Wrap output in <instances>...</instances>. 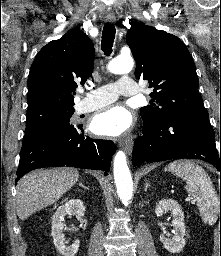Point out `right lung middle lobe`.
Returning a JSON list of instances; mask_svg holds the SVG:
<instances>
[{
	"instance_id": "1",
	"label": "right lung middle lobe",
	"mask_w": 221,
	"mask_h": 256,
	"mask_svg": "<svg viewBox=\"0 0 221 256\" xmlns=\"http://www.w3.org/2000/svg\"><path fill=\"white\" fill-rule=\"evenodd\" d=\"M73 113V107L47 108L27 112V125L25 134H30L52 123L70 121Z\"/></svg>"
}]
</instances>
